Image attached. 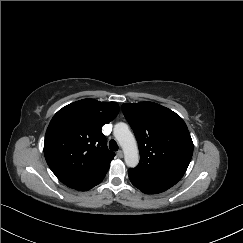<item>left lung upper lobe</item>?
<instances>
[{
    "label": "left lung upper lobe",
    "mask_w": 243,
    "mask_h": 243,
    "mask_svg": "<svg viewBox=\"0 0 243 243\" xmlns=\"http://www.w3.org/2000/svg\"><path fill=\"white\" fill-rule=\"evenodd\" d=\"M122 111L136 136L140 162L128 170L135 176L178 171L185 173L193 142L183 119L153 102L123 104Z\"/></svg>",
    "instance_id": "5c2ea615"
}]
</instances>
